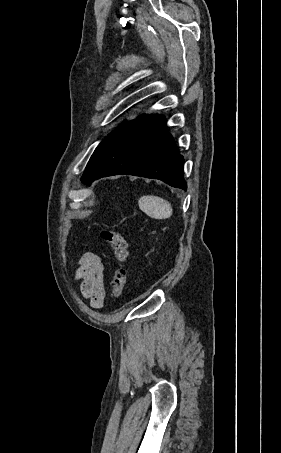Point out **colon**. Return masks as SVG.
Wrapping results in <instances>:
<instances>
[{
    "label": "colon",
    "mask_w": 281,
    "mask_h": 453,
    "mask_svg": "<svg viewBox=\"0 0 281 453\" xmlns=\"http://www.w3.org/2000/svg\"><path fill=\"white\" fill-rule=\"evenodd\" d=\"M103 238L109 243L115 265L110 278V295L114 300L120 299L126 289L125 262L127 244L123 234L113 230H103Z\"/></svg>",
    "instance_id": "obj_1"
}]
</instances>
